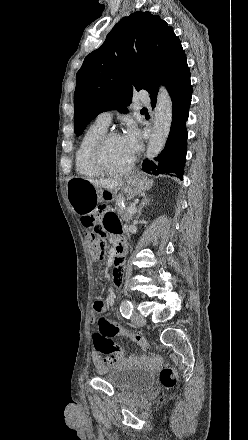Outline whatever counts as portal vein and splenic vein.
Here are the masks:
<instances>
[{"label":"portal vein and splenic vein","instance_id":"18ae733b","mask_svg":"<svg viewBox=\"0 0 248 440\" xmlns=\"http://www.w3.org/2000/svg\"><path fill=\"white\" fill-rule=\"evenodd\" d=\"M136 211H137V207L135 204H132L130 207H128L129 213L134 214V213H136Z\"/></svg>","mask_w":248,"mask_h":440}]
</instances>
